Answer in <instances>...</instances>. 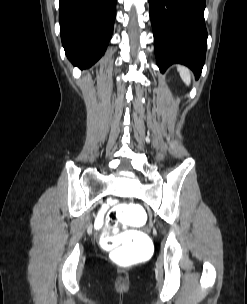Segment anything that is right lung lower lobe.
Listing matches in <instances>:
<instances>
[{"label": "right lung lower lobe", "mask_w": 247, "mask_h": 304, "mask_svg": "<svg viewBox=\"0 0 247 304\" xmlns=\"http://www.w3.org/2000/svg\"><path fill=\"white\" fill-rule=\"evenodd\" d=\"M116 0H59L62 44L75 65L91 66L112 36Z\"/></svg>", "instance_id": "98d812e1"}]
</instances>
